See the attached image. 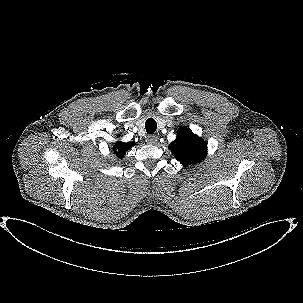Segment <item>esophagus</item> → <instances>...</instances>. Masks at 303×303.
I'll return each mask as SVG.
<instances>
[{
	"label": "esophagus",
	"instance_id": "obj_1",
	"mask_svg": "<svg viewBox=\"0 0 303 303\" xmlns=\"http://www.w3.org/2000/svg\"><path fill=\"white\" fill-rule=\"evenodd\" d=\"M147 142L149 144H156L158 142V138L156 135H148L147 136Z\"/></svg>",
	"mask_w": 303,
	"mask_h": 303
}]
</instances>
